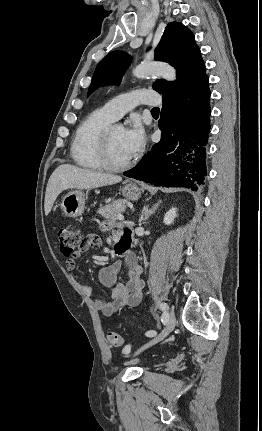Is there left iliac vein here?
Returning a JSON list of instances; mask_svg holds the SVG:
<instances>
[{
	"label": "left iliac vein",
	"instance_id": "left-iliac-vein-1",
	"mask_svg": "<svg viewBox=\"0 0 262 431\" xmlns=\"http://www.w3.org/2000/svg\"><path fill=\"white\" fill-rule=\"evenodd\" d=\"M164 315L166 316L167 323L165 329L156 337H154L152 340H150L144 347H142L137 353L141 352L142 350H145L159 341L163 340L169 333L174 329L176 325V320L173 312H165Z\"/></svg>",
	"mask_w": 262,
	"mask_h": 431
}]
</instances>
